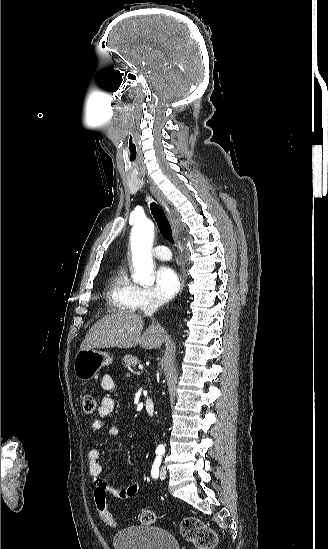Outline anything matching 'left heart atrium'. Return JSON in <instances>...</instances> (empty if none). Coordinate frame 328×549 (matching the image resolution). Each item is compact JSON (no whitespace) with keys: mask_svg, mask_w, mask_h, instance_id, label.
Returning a JSON list of instances; mask_svg holds the SVG:
<instances>
[{"mask_svg":"<svg viewBox=\"0 0 328 549\" xmlns=\"http://www.w3.org/2000/svg\"><path fill=\"white\" fill-rule=\"evenodd\" d=\"M178 288V278L170 267L165 266L157 271L156 289L164 300L171 298L178 291Z\"/></svg>","mask_w":328,"mask_h":549,"instance_id":"1","label":"left heart atrium"}]
</instances>
